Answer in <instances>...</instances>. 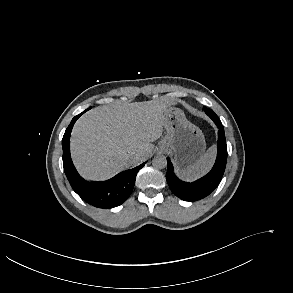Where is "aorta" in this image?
Instances as JSON below:
<instances>
[{
	"label": "aorta",
	"instance_id": "1",
	"mask_svg": "<svg viewBox=\"0 0 293 293\" xmlns=\"http://www.w3.org/2000/svg\"><path fill=\"white\" fill-rule=\"evenodd\" d=\"M152 165L158 169L165 168L167 166V160L164 155H157L152 160Z\"/></svg>",
	"mask_w": 293,
	"mask_h": 293
}]
</instances>
